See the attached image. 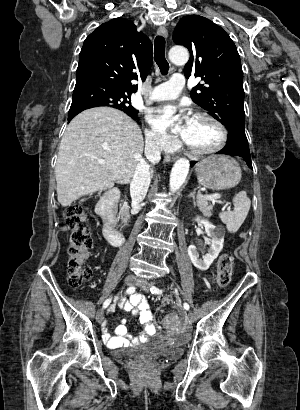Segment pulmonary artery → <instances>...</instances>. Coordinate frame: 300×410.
<instances>
[{
	"label": "pulmonary artery",
	"instance_id": "e3ab8cb5",
	"mask_svg": "<svg viewBox=\"0 0 300 410\" xmlns=\"http://www.w3.org/2000/svg\"><path fill=\"white\" fill-rule=\"evenodd\" d=\"M185 85V79L182 74H174L169 81L154 87L151 91L150 98L153 101H163L176 98Z\"/></svg>",
	"mask_w": 300,
	"mask_h": 410
}]
</instances>
